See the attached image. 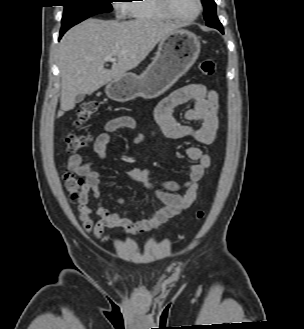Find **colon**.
Wrapping results in <instances>:
<instances>
[{"label": "colon", "instance_id": "obj_1", "mask_svg": "<svg viewBox=\"0 0 304 329\" xmlns=\"http://www.w3.org/2000/svg\"><path fill=\"white\" fill-rule=\"evenodd\" d=\"M199 70L206 76H212L216 73V64L211 59L203 60L199 65ZM99 103L96 100H88L81 104L76 112L74 124L82 126L98 112ZM68 152H76L85 149L90 144V137L86 134H69L64 139ZM83 180L72 171L64 174V187L71 202H77L83 188ZM199 219L204 217V213L199 211Z\"/></svg>", "mask_w": 304, "mask_h": 329}]
</instances>
